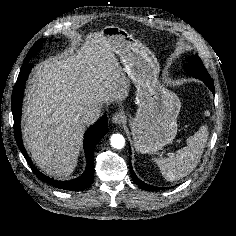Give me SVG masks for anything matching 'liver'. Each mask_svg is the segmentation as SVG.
Instances as JSON below:
<instances>
[{"mask_svg":"<svg viewBox=\"0 0 236 236\" xmlns=\"http://www.w3.org/2000/svg\"><path fill=\"white\" fill-rule=\"evenodd\" d=\"M129 80L101 32L80 48L47 59L35 68L23 106V138L36 165L64 179L75 169L87 124L83 110L122 101Z\"/></svg>","mask_w":236,"mask_h":236,"instance_id":"liver-1","label":"liver"}]
</instances>
